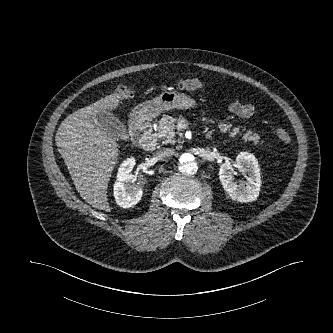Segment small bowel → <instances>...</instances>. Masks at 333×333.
Returning <instances> with one entry per match:
<instances>
[{"instance_id": "c3829d8e", "label": "small bowel", "mask_w": 333, "mask_h": 333, "mask_svg": "<svg viewBox=\"0 0 333 333\" xmlns=\"http://www.w3.org/2000/svg\"><path fill=\"white\" fill-rule=\"evenodd\" d=\"M230 111L239 117L249 118L253 115L254 108L250 104L233 101L230 105Z\"/></svg>"}]
</instances>
